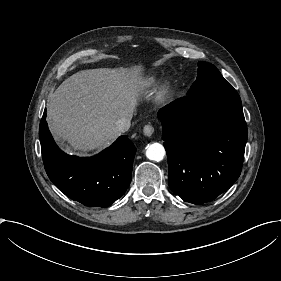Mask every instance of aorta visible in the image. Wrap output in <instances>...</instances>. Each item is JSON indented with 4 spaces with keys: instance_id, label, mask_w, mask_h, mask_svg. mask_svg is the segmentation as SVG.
I'll return each mask as SVG.
<instances>
[{
    "instance_id": "1",
    "label": "aorta",
    "mask_w": 281,
    "mask_h": 281,
    "mask_svg": "<svg viewBox=\"0 0 281 281\" xmlns=\"http://www.w3.org/2000/svg\"><path fill=\"white\" fill-rule=\"evenodd\" d=\"M145 154L149 160L159 162L163 160L166 153L162 144L153 143L147 146Z\"/></svg>"
}]
</instances>
